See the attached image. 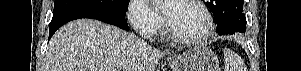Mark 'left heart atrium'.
<instances>
[{"mask_svg": "<svg viewBox=\"0 0 301 71\" xmlns=\"http://www.w3.org/2000/svg\"><path fill=\"white\" fill-rule=\"evenodd\" d=\"M163 3L165 4L164 8H163V12L165 14V16L167 17L170 14V10H171V6L174 3V1H163Z\"/></svg>", "mask_w": 301, "mask_h": 71, "instance_id": "obj_1", "label": "left heart atrium"}]
</instances>
